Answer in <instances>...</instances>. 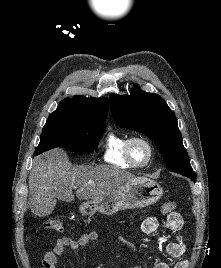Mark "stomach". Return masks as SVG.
<instances>
[{
    "label": "stomach",
    "mask_w": 221,
    "mask_h": 268,
    "mask_svg": "<svg viewBox=\"0 0 221 268\" xmlns=\"http://www.w3.org/2000/svg\"><path fill=\"white\" fill-rule=\"evenodd\" d=\"M162 195L163 189L158 183L145 177H135L103 197L82 203L79 210L86 216L96 212L112 215L120 210L155 204Z\"/></svg>",
    "instance_id": "1"
}]
</instances>
